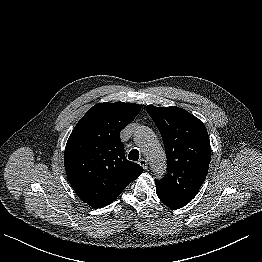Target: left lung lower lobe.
<instances>
[{"mask_svg": "<svg viewBox=\"0 0 262 262\" xmlns=\"http://www.w3.org/2000/svg\"><path fill=\"white\" fill-rule=\"evenodd\" d=\"M158 195V194H157ZM159 199L170 209H179L185 206L186 204H183L182 202L172 201L170 199H166L160 195H158Z\"/></svg>", "mask_w": 262, "mask_h": 262, "instance_id": "1", "label": "left lung lower lobe"}]
</instances>
